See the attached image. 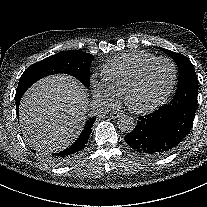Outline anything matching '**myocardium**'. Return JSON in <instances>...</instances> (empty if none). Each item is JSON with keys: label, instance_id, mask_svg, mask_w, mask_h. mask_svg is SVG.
<instances>
[{"label": "myocardium", "instance_id": "f54148a6", "mask_svg": "<svg viewBox=\"0 0 207 207\" xmlns=\"http://www.w3.org/2000/svg\"><path fill=\"white\" fill-rule=\"evenodd\" d=\"M159 62H168L172 65L173 67V78H172V82L171 85L167 91L166 97L165 99L169 98L172 93L174 92L176 83H177V79H178V70H177V66L176 63L168 58V57H159L156 58L152 61H150L149 63H147L136 75V77L127 85L124 93H123V101L124 104L126 105V107L128 108V110H130L131 112L135 113V114H141L143 112L142 109H138L136 107H134L131 103H130V96L131 94L142 84L146 73L149 71L150 68H152L155 64L159 63Z\"/></svg>", "mask_w": 207, "mask_h": 207}]
</instances>
